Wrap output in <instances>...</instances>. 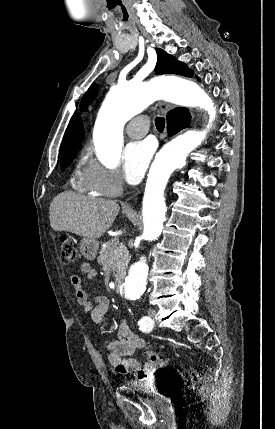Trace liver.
Listing matches in <instances>:
<instances>
[{
    "label": "liver",
    "instance_id": "obj_1",
    "mask_svg": "<svg viewBox=\"0 0 275 429\" xmlns=\"http://www.w3.org/2000/svg\"><path fill=\"white\" fill-rule=\"evenodd\" d=\"M119 210L116 200L90 198L65 191L50 203V225L55 231L97 239L112 226Z\"/></svg>",
    "mask_w": 275,
    "mask_h": 429
}]
</instances>
